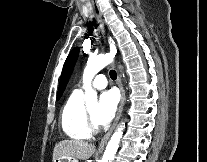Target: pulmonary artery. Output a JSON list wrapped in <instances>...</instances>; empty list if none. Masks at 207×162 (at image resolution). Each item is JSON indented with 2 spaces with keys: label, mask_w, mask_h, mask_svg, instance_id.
<instances>
[{
  "label": "pulmonary artery",
  "mask_w": 207,
  "mask_h": 162,
  "mask_svg": "<svg viewBox=\"0 0 207 162\" xmlns=\"http://www.w3.org/2000/svg\"><path fill=\"white\" fill-rule=\"evenodd\" d=\"M92 86L96 89H104L107 86L106 77L103 74L96 75L92 81ZM83 88L81 87L80 90Z\"/></svg>",
  "instance_id": "pulmonary-artery-1"
}]
</instances>
